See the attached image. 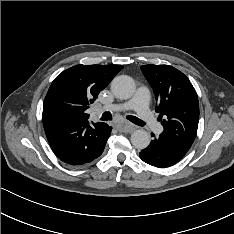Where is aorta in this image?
Returning <instances> with one entry per match:
<instances>
[{
	"label": "aorta",
	"instance_id": "1",
	"mask_svg": "<svg viewBox=\"0 0 234 234\" xmlns=\"http://www.w3.org/2000/svg\"><path fill=\"white\" fill-rule=\"evenodd\" d=\"M111 90L117 98L128 99L135 91V84L131 77L121 75L113 79ZM131 143L137 149H145L150 144V136L147 131L137 129L131 134Z\"/></svg>",
	"mask_w": 234,
	"mask_h": 234
}]
</instances>
